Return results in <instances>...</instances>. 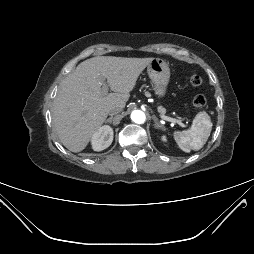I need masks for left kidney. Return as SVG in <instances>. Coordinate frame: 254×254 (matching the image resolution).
Here are the masks:
<instances>
[{
    "instance_id": "1",
    "label": "left kidney",
    "mask_w": 254,
    "mask_h": 254,
    "mask_svg": "<svg viewBox=\"0 0 254 254\" xmlns=\"http://www.w3.org/2000/svg\"><path fill=\"white\" fill-rule=\"evenodd\" d=\"M162 140H163L164 142H166V141H167V138H166V136H165V135H163V136H162Z\"/></svg>"
}]
</instances>
